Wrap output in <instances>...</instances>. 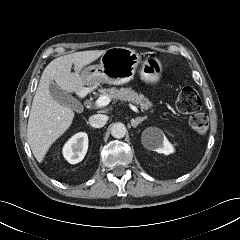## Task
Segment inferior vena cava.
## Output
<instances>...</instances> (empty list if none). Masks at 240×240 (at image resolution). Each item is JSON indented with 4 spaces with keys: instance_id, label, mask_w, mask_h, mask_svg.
<instances>
[{
    "instance_id": "1",
    "label": "inferior vena cava",
    "mask_w": 240,
    "mask_h": 240,
    "mask_svg": "<svg viewBox=\"0 0 240 240\" xmlns=\"http://www.w3.org/2000/svg\"><path fill=\"white\" fill-rule=\"evenodd\" d=\"M107 120L108 117L106 115L95 114L89 118V124L94 128H101L106 124Z\"/></svg>"
}]
</instances>
